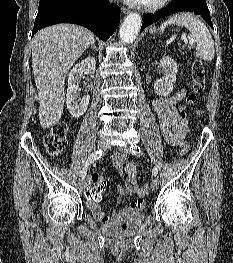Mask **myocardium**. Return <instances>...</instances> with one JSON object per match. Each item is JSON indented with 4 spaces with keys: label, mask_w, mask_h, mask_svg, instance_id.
<instances>
[{
    "label": "myocardium",
    "mask_w": 233,
    "mask_h": 263,
    "mask_svg": "<svg viewBox=\"0 0 233 263\" xmlns=\"http://www.w3.org/2000/svg\"><path fill=\"white\" fill-rule=\"evenodd\" d=\"M169 0H156L151 3H141L140 8L146 12H155L162 9Z\"/></svg>",
    "instance_id": "1"
}]
</instances>
